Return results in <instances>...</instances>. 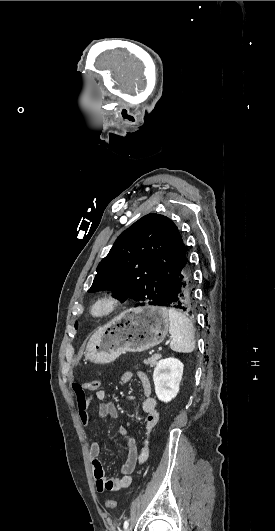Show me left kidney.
<instances>
[{
	"label": "left kidney",
	"mask_w": 275,
	"mask_h": 531,
	"mask_svg": "<svg viewBox=\"0 0 275 531\" xmlns=\"http://www.w3.org/2000/svg\"><path fill=\"white\" fill-rule=\"evenodd\" d=\"M183 367V363L178 359H173V357L161 359L157 363L153 373V381L159 401L169 403L179 393Z\"/></svg>",
	"instance_id": "obj_1"
}]
</instances>
